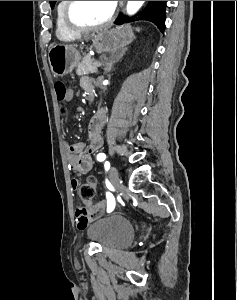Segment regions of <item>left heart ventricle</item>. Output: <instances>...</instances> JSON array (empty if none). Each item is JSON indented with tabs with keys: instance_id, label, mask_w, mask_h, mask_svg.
I'll return each mask as SVG.
<instances>
[{
	"instance_id": "obj_1",
	"label": "left heart ventricle",
	"mask_w": 237,
	"mask_h": 300,
	"mask_svg": "<svg viewBox=\"0 0 237 300\" xmlns=\"http://www.w3.org/2000/svg\"><path fill=\"white\" fill-rule=\"evenodd\" d=\"M111 1H77L72 11V19L79 25H98L112 14Z\"/></svg>"
}]
</instances>
